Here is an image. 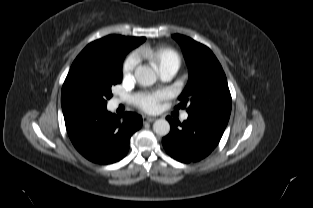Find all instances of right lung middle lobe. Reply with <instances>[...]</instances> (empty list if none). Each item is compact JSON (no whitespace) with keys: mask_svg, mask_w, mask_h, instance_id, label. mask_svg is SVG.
I'll list each match as a JSON object with an SVG mask.
<instances>
[{"mask_svg":"<svg viewBox=\"0 0 313 208\" xmlns=\"http://www.w3.org/2000/svg\"><path fill=\"white\" fill-rule=\"evenodd\" d=\"M128 52L126 47L114 45L104 61L70 69L62 87V98L106 105L112 97L111 88L122 80V63Z\"/></svg>","mask_w":313,"mask_h":208,"instance_id":"dd1d6c3e","label":"right lung middle lobe"}]
</instances>
